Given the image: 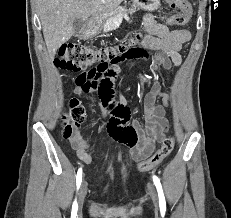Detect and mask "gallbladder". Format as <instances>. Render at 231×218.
I'll list each match as a JSON object with an SVG mask.
<instances>
[{
  "label": "gallbladder",
  "instance_id": "gallbladder-1",
  "mask_svg": "<svg viewBox=\"0 0 231 218\" xmlns=\"http://www.w3.org/2000/svg\"><path fill=\"white\" fill-rule=\"evenodd\" d=\"M85 24V20L81 18H75L73 21L74 34L78 35V33L84 28Z\"/></svg>",
  "mask_w": 231,
  "mask_h": 218
}]
</instances>
